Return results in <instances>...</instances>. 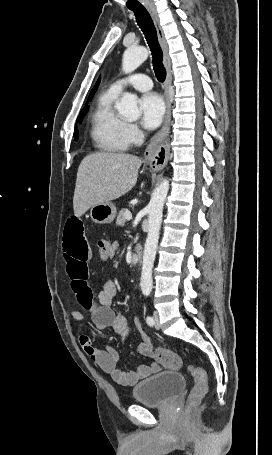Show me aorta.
Returning <instances> with one entry per match:
<instances>
[{
  "label": "aorta",
  "mask_w": 272,
  "mask_h": 455,
  "mask_svg": "<svg viewBox=\"0 0 272 455\" xmlns=\"http://www.w3.org/2000/svg\"><path fill=\"white\" fill-rule=\"evenodd\" d=\"M148 58L145 47H129L122 59V70L128 74L137 69ZM118 112L128 120H136L141 116L137 105V97L124 93L117 105ZM169 191V180L164 179L154 190L147 206L148 234L144 247L140 286L144 294L152 290V269L157 251L159 232L162 223V212Z\"/></svg>",
  "instance_id": "aorta-1"
}]
</instances>
